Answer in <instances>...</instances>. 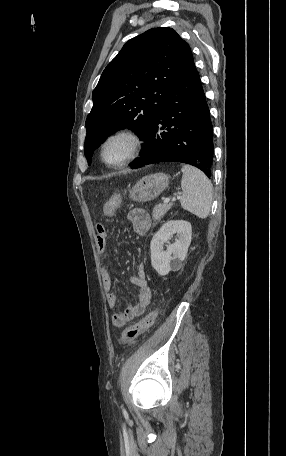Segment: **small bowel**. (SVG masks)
Here are the masks:
<instances>
[{"instance_id": "1", "label": "small bowel", "mask_w": 286, "mask_h": 456, "mask_svg": "<svg viewBox=\"0 0 286 456\" xmlns=\"http://www.w3.org/2000/svg\"><path fill=\"white\" fill-rule=\"evenodd\" d=\"M117 209V205H111L109 202L104 206L105 216H112ZM128 220L132 223L136 234L144 235L151 227V220L148 213L141 208H133L128 212ZM96 243L98 252L103 256L107 249L108 233L103 224L96 226ZM129 281L138 287L139 300L137 303L126 307L123 311L116 312L112 316V324L115 327H122L132 319L141 316L148 306L151 298V289L148 284L146 265L140 263L137 266L136 273L129 278ZM102 282L107 291L106 300L110 308L117 305L118 297L111 292L113 280L106 269L102 271Z\"/></svg>"}]
</instances>
